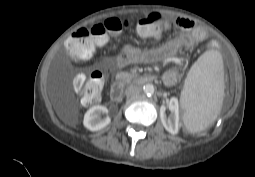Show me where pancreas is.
I'll return each instance as SVG.
<instances>
[{"label": "pancreas", "instance_id": "cf45deb5", "mask_svg": "<svg viewBox=\"0 0 255 177\" xmlns=\"http://www.w3.org/2000/svg\"><path fill=\"white\" fill-rule=\"evenodd\" d=\"M136 75L128 72H119L116 74L117 80H122L125 83H129Z\"/></svg>", "mask_w": 255, "mask_h": 177}]
</instances>
